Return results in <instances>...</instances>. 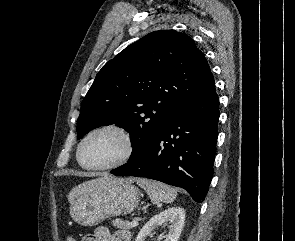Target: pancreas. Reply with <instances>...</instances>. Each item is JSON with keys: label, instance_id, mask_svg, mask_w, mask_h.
Returning <instances> with one entry per match:
<instances>
[{"label": "pancreas", "instance_id": "obj_1", "mask_svg": "<svg viewBox=\"0 0 295 241\" xmlns=\"http://www.w3.org/2000/svg\"><path fill=\"white\" fill-rule=\"evenodd\" d=\"M113 226L119 229L130 230L132 226L128 221H124L122 219H117L113 221Z\"/></svg>", "mask_w": 295, "mask_h": 241}]
</instances>
